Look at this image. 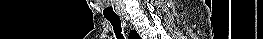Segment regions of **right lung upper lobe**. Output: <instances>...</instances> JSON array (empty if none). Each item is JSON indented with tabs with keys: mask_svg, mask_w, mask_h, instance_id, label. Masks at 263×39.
<instances>
[{
	"mask_svg": "<svg viewBox=\"0 0 263 39\" xmlns=\"http://www.w3.org/2000/svg\"><path fill=\"white\" fill-rule=\"evenodd\" d=\"M130 35H132L134 38L139 37V35L136 33V31H132V32L130 33Z\"/></svg>",
	"mask_w": 263,
	"mask_h": 39,
	"instance_id": "cb5924a9",
	"label": "right lung upper lobe"
}]
</instances>
